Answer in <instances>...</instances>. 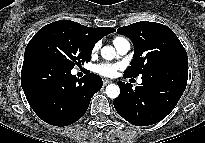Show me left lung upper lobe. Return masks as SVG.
Returning a JSON list of instances; mask_svg holds the SVG:
<instances>
[{"mask_svg":"<svg viewBox=\"0 0 205 143\" xmlns=\"http://www.w3.org/2000/svg\"><path fill=\"white\" fill-rule=\"evenodd\" d=\"M117 32L128 37L134 44V56L124 71L125 77L145 75L154 67L173 62L188 63L187 53L176 34L160 23L141 21Z\"/></svg>","mask_w":205,"mask_h":143,"instance_id":"5c2ea615","label":"left lung upper lobe"}]
</instances>
